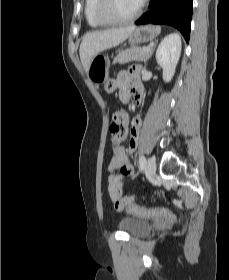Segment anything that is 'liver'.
I'll return each instance as SVG.
<instances>
[{
    "label": "liver",
    "instance_id": "6515ba94",
    "mask_svg": "<svg viewBox=\"0 0 229 280\" xmlns=\"http://www.w3.org/2000/svg\"><path fill=\"white\" fill-rule=\"evenodd\" d=\"M134 30L135 26H129L86 33L79 49L81 63L85 71L87 72L90 62L95 56L124 42Z\"/></svg>",
    "mask_w": 229,
    "mask_h": 280
}]
</instances>
